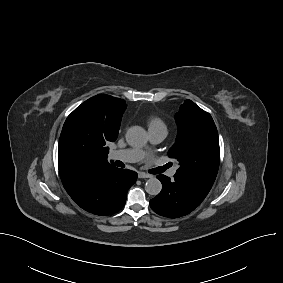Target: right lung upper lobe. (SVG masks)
<instances>
[{"label": "right lung upper lobe", "instance_id": "1", "mask_svg": "<svg viewBox=\"0 0 283 283\" xmlns=\"http://www.w3.org/2000/svg\"><path fill=\"white\" fill-rule=\"evenodd\" d=\"M81 106L98 120L104 133L109 136H118L121 118L127 106L124 100L99 94L86 100ZM106 165H110L107 155L84 159L76 157L62 148L58 150L59 173L65 188L77 179Z\"/></svg>", "mask_w": 283, "mask_h": 283}]
</instances>
